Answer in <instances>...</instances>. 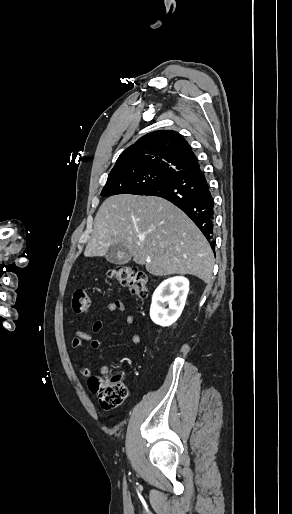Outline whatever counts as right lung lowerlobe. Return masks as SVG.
I'll list each match as a JSON object with an SVG mask.
<instances>
[{"instance_id":"obj_1","label":"right lung lower lobe","mask_w":292,"mask_h":514,"mask_svg":"<svg viewBox=\"0 0 292 514\" xmlns=\"http://www.w3.org/2000/svg\"><path fill=\"white\" fill-rule=\"evenodd\" d=\"M143 195L162 197L183 210L214 250V199L199 164L172 174Z\"/></svg>"}]
</instances>
